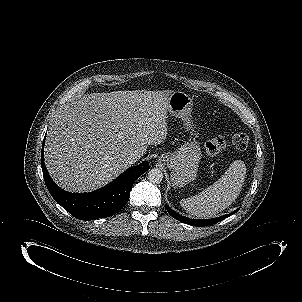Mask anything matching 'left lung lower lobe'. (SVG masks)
<instances>
[{"label": "left lung lower lobe", "mask_w": 302, "mask_h": 302, "mask_svg": "<svg viewBox=\"0 0 302 302\" xmlns=\"http://www.w3.org/2000/svg\"><path fill=\"white\" fill-rule=\"evenodd\" d=\"M166 209L173 218L179 220L180 222H183L185 224L192 225V226H199V227L215 224L238 211V209H237L228 215L221 216V217L214 218V219L195 220V219H189V218H186V217H183V216L177 214L168 205H166Z\"/></svg>", "instance_id": "left-lung-lower-lobe-1"}]
</instances>
